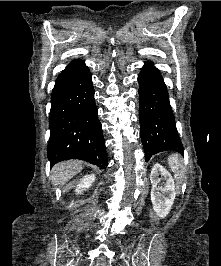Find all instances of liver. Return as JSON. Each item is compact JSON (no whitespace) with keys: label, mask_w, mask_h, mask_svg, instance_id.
Returning <instances> with one entry per match:
<instances>
[{"label":"liver","mask_w":221,"mask_h":266,"mask_svg":"<svg viewBox=\"0 0 221 266\" xmlns=\"http://www.w3.org/2000/svg\"><path fill=\"white\" fill-rule=\"evenodd\" d=\"M83 169V162L79 160H68L56 164L51 171L52 182L63 186L72 177Z\"/></svg>","instance_id":"obj_1"}]
</instances>
